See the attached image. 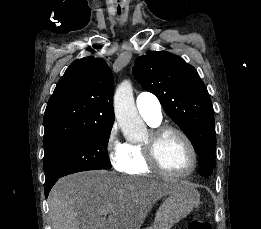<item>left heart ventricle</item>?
Returning <instances> with one entry per match:
<instances>
[{
	"label": "left heart ventricle",
	"mask_w": 261,
	"mask_h": 229,
	"mask_svg": "<svg viewBox=\"0 0 261 229\" xmlns=\"http://www.w3.org/2000/svg\"><path fill=\"white\" fill-rule=\"evenodd\" d=\"M159 157L168 170L176 173L186 172L192 163L188 146L179 135L174 133L163 138L159 147Z\"/></svg>",
	"instance_id": "1"
}]
</instances>
